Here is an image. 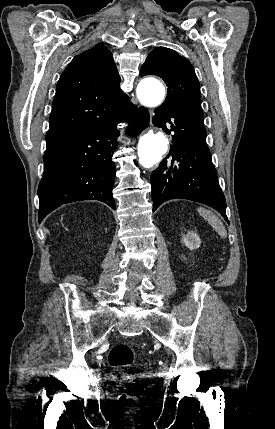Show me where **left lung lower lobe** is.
<instances>
[{"label":"left lung lower lobe","mask_w":275,"mask_h":429,"mask_svg":"<svg viewBox=\"0 0 275 429\" xmlns=\"http://www.w3.org/2000/svg\"><path fill=\"white\" fill-rule=\"evenodd\" d=\"M152 122L172 133L173 143L150 177L153 211L167 200L183 198L215 208L229 223L203 122L164 104L156 108Z\"/></svg>","instance_id":"0a47b994"}]
</instances>
